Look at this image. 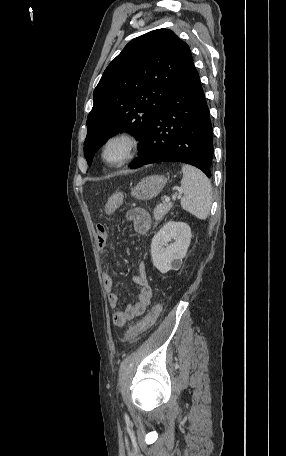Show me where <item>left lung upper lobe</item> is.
<instances>
[{"label": "left lung upper lobe", "mask_w": 286, "mask_h": 456, "mask_svg": "<svg viewBox=\"0 0 286 456\" xmlns=\"http://www.w3.org/2000/svg\"><path fill=\"white\" fill-rule=\"evenodd\" d=\"M192 63L188 45L171 30L157 29L131 40L93 92L84 142L88 164L98 148L121 131L142 142L168 93Z\"/></svg>", "instance_id": "5c2ea615"}]
</instances>
